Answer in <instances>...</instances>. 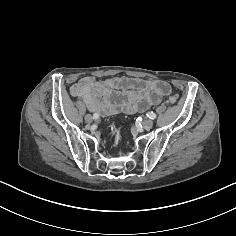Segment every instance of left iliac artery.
Returning <instances> with one entry per match:
<instances>
[{"label":"left iliac artery","instance_id":"1","mask_svg":"<svg viewBox=\"0 0 236 236\" xmlns=\"http://www.w3.org/2000/svg\"><path fill=\"white\" fill-rule=\"evenodd\" d=\"M147 117H149L150 119H155L156 118V114L154 112H148L147 114Z\"/></svg>","mask_w":236,"mask_h":236}]
</instances>
